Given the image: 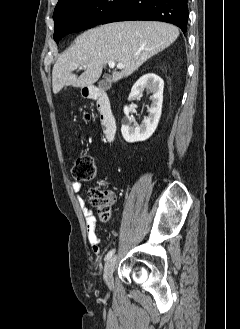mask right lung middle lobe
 Returning a JSON list of instances; mask_svg holds the SVG:
<instances>
[{
	"label": "right lung middle lobe",
	"instance_id": "dd1d6c3e",
	"mask_svg": "<svg viewBox=\"0 0 240 329\" xmlns=\"http://www.w3.org/2000/svg\"><path fill=\"white\" fill-rule=\"evenodd\" d=\"M125 0H70L54 10V40L100 24Z\"/></svg>",
	"mask_w": 240,
	"mask_h": 329
}]
</instances>
